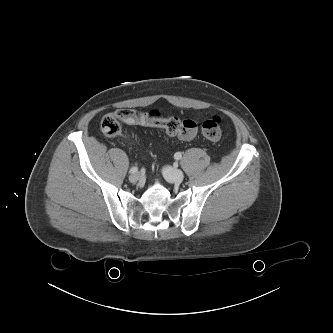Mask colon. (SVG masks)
<instances>
[{
	"label": "colon",
	"instance_id": "colon-1",
	"mask_svg": "<svg viewBox=\"0 0 333 333\" xmlns=\"http://www.w3.org/2000/svg\"><path fill=\"white\" fill-rule=\"evenodd\" d=\"M155 126L163 128L168 134L178 136L183 140H192L198 133V126L193 120H180L177 117L161 118L158 115L148 113H134L132 110L122 109L103 116L100 122L101 131L107 136H115L121 133L122 123ZM201 131L205 138L218 140L222 135V120L214 116L201 125ZM126 140L133 141L134 136H126Z\"/></svg>",
	"mask_w": 333,
	"mask_h": 333
}]
</instances>
